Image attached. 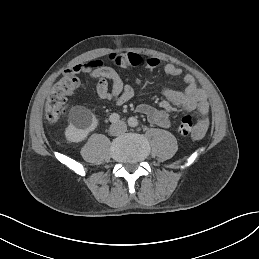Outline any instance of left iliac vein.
<instances>
[{"label": "left iliac vein", "mask_w": 259, "mask_h": 259, "mask_svg": "<svg viewBox=\"0 0 259 259\" xmlns=\"http://www.w3.org/2000/svg\"><path fill=\"white\" fill-rule=\"evenodd\" d=\"M119 125H120L123 129H125V124H124V122H119Z\"/></svg>", "instance_id": "1"}]
</instances>
